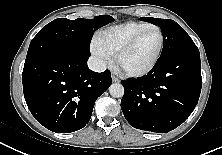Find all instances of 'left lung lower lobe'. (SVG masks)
Segmentation results:
<instances>
[{"label":"left lung lower lobe","instance_id":"left-lung-lower-lobe-1","mask_svg":"<svg viewBox=\"0 0 222 155\" xmlns=\"http://www.w3.org/2000/svg\"><path fill=\"white\" fill-rule=\"evenodd\" d=\"M121 109L131 126L157 133L181 125L193 112L201 92L199 52H178L159 58L137 80L121 81Z\"/></svg>","mask_w":222,"mask_h":155}]
</instances>
